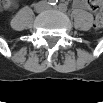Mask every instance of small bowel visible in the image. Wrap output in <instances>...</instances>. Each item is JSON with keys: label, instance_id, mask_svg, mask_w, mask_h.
<instances>
[{"label": "small bowel", "instance_id": "1", "mask_svg": "<svg viewBox=\"0 0 103 103\" xmlns=\"http://www.w3.org/2000/svg\"><path fill=\"white\" fill-rule=\"evenodd\" d=\"M76 5L81 7V8H89V3L87 1H77ZM3 6L8 8V7L11 6V3L10 2H5V3H3Z\"/></svg>", "mask_w": 103, "mask_h": 103}]
</instances>
